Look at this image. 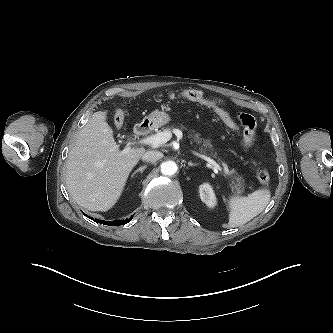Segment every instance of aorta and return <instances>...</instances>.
Segmentation results:
<instances>
[{"label": "aorta", "mask_w": 333, "mask_h": 333, "mask_svg": "<svg viewBox=\"0 0 333 333\" xmlns=\"http://www.w3.org/2000/svg\"><path fill=\"white\" fill-rule=\"evenodd\" d=\"M178 170V166L174 161H166L161 164V173L164 175L172 176Z\"/></svg>", "instance_id": "1"}]
</instances>
